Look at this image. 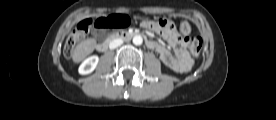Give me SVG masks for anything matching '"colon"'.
Segmentation results:
<instances>
[{"instance_id":"colon-1","label":"colon","mask_w":276,"mask_h":120,"mask_svg":"<svg viewBox=\"0 0 276 120\" xmlns=\"http://www.w3.org/2000/svg\"><path fill=\"white\" fill-rule=\"evenodd\" d=\"M93 24L98 31H103L109 28L135 27L140 24V19L138 17L128 18L122 17L120 15H114L113 17L100 18L94 23L90 19H84L80 21L66 40L64 52L67 56L71 54L79 39L89 30ZM158 24L162 28H165L172 25V22L168 19H160L158 20ZM179 30L183 36L188 37L191 32V26L189 22L186 20L180 21ZM188 41L192 55L196 58L199 57L203 48L202 39L199 37H188Z\"/></svg>"}]
</instances>
